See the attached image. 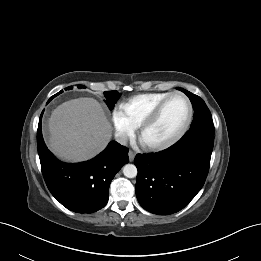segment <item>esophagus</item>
Returning a JSON list of instances; mask_svg holds the SVG:
<instances>
[{"instance_id": "1", "label": "esophagus", "mask_w": 261, "mask_h": 261, "mask_svg": "<svg viewBox=\"0 0 261 261\" xmlns=\"http://www.w3.org/2000/svg\"><path fill=\"white\" fill-rule=\"evenodd\" d=\"M128 156H129V160H130V161H133L134 158H135V152L132 151V150H130V151L128 152Z\"/></svg>"}]
</instances>
